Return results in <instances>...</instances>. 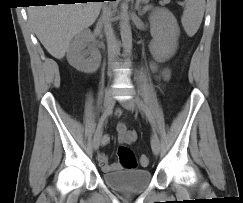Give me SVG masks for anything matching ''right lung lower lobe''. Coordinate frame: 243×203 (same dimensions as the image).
Wrapping results in <instances>:
<instances>
[{"label":"right lung lower lobe","instance_id":"98d812e1","mask_svg":"<svg viewBox=\"0 0 243 203\" xmlns=\"http://www.w3.org/2000/svg\"><path fill=\"white\" fill-rule=\"evenodd\" d=\"M63 1H66L64 3H74V2H71L72 0H63ZM98 1H104V0H98ZM110 1H116V0H110Z\"/></svg>","mask_w":243,"mask_h":203}]
</instances>
